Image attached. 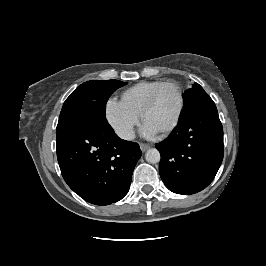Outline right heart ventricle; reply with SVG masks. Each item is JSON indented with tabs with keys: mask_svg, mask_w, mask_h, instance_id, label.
<instances>
[{
	"mask_svg": "<svg viewBox=\"0 0 266 266\" xmlns=\"http://www.w3.org/2000/svg\"><path fill=\"white\" fill-rule=\"evenodd\" d=\"M164 81H142L126 89L122 94V101L133 111L141 114L142 108L152 92Z\"/></svg>",
	"mask_w": 266,
	"mask_h": 266,
	"instance_id": "e07e8e85",
	"label": "right heart ventricle"
}]
</instances>
